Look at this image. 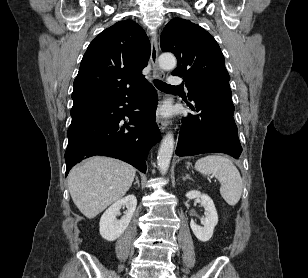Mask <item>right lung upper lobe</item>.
<instances>
[{
  "label": "right lung upper lobe",
  "instance_id": "right-lung-upper-lobe-1",
  "mask_svg": "<svg viewBox=\"0 0 308 278\" xmlns=\"http://www.w3.org/2000/svg\"><path fill=\"white\" fill-rule=\"evenodd\" d=\"M150 42L133 21H120L101 32L88 46L73 84L75 114L128 97L146 83L142 70L150 57Z\"/></svg>",
  "mask_w": 308,
  "mask_h": 278
}]
</instances>
